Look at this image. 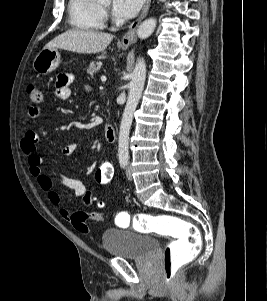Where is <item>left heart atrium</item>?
<instances>
[{
	"label": "left heart atrium",
	"mask_w": 267,
	"mask_h": 301,
	"mask_svg": "<svg viewBox=\"0 0 267 301\" xmlns=\"http://www.w3.org/2000/svg\"><path fill=\"white\" fill-rule=\"evenodd\" d=\"M144 0H112L113 14L120 18H131L141 8Z\"/></svg>",
	"instance_id": "obj_1"
}]
</instances>
